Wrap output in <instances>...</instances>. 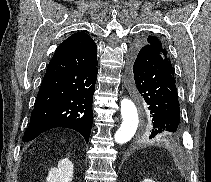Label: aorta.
<instances>
[{
	"instance_id": "aorta-1",
	"label": "aorta",
	"mask_w": 211,
	"mask_h": 182,
	"mask_svg": "<svg viewBox=\"0 0 211 182\" xmlns=\"http://www.w3.org/2000/svg\"><path fill=\"white\" fill-rule=\"evenodd\" d=\"M122 123L114 135L115 142L124 144L128 142L136 133L139 116L135 104L128 98H123L120 102Z\"/></svg>"
}]
</instances>
